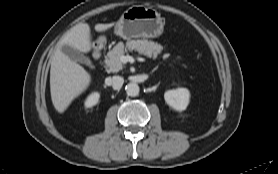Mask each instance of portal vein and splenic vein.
<instances>
[{
  "instance_id": "portal-vein-and-splenic-vein-1",
  "label": "portal vein and splenic vein",
  "mask_w": 278,
  "mask_h": 174,
  "mask_svg": "<svg viewBox=\"0 0 278 174\" xmlns=\"http://www.w3.org/2000/svg\"><path fill=\"white\" fill-rule=\"evenodd\" d=\"M129 59V56H121V62L126 63Z\"/></svg>"
}]
</instances>
